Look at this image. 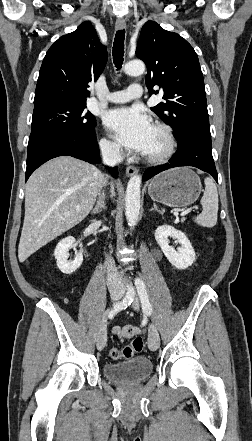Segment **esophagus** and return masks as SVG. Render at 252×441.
I'll return each instance as SVG.
<instances>
[{"label": "esophagus", "mask_w": 252, "mask_h": 441, "mask_svg": "<svg viewBox=\"0 0 252 441\" xmlns=\"http://www.w3.org/2000/svg\"><path fill=\"white\" fill-rule=\"evenodd\" d=\"M126 28V22L123 18H117L116 20V29L117 30H123ZM138 173V168L135 166H128L126 168V174L127 176H134Z\"/></svg>", "instance_id": "obj_1"}]
</instances>
